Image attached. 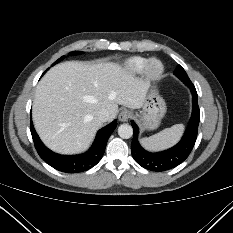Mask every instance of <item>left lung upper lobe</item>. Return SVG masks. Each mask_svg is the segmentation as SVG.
<instances>
[{
    "mask_svg": "<svg viewBox=\"0 0 233 233\" xmlns=\"http://www.w3.org/2000/svg\"><path fill=\"white\" fill-rule=\"evenodd\" d=\"M174 74L186 85L188 83H192L187 75V73L185 72V70L179 65L176 70L174 71Z\"/></svg>",
    "mask_w": 233,
    "mask_h": 233,
    "instance_id": "obj_1",
    "label": "left lung upper lobe"
}]
</instances>
